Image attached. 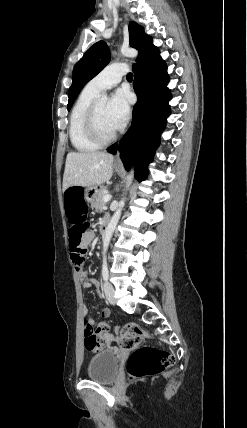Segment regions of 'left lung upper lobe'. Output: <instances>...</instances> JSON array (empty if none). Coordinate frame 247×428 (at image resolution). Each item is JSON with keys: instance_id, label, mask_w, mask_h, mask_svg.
<instances>
[{"instance_id": "5c2ea615", "label": "left lung upper lobe", "mask_w": 247, "mask_h": 428, "mask_svg": "<svg viewBox=\"0 0 247 428\" xmlns=\"http://www.w3.org/2000/svg\"><path fill=\"white\" fill-rule=\"evenodd\" d=\"M129 44L139 51L134 68L159 52L152 44V38L144 33L142 27L131 22L129 26ZM110 61V51L104 41H99L91 46L82 59L75 65L73 70L72 85L68 92V110L71 109L76 97L84 85L94 78Z\"/></svg>"}]
</instances>
